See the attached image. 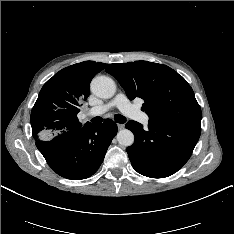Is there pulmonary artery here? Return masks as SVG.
<instances>
[{
	"label": "pulmonary artery",
	"instance_id": "obj_1",
	"mask_svg": "<svg viewBox=\"0 0 234 234\" xmlns=\"http://www.w3.org/2000/svg\"><path fill=\"white\" fill-rule=\"evenodd\" d=\"M116 107L126 116L133 118L143 124L148 123V116L130 103L127 96L123 93L117 94L110 102L89 109V115H100Z\"/></svg>",
	"mask_w": 234,
	"mask_h": 234
}]
</instances>
